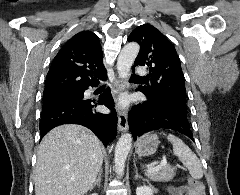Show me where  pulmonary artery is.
<instances>
[{"mask_svg": "<svg viewBox=\"0 0 240 195\" xmlns=\"http://www.w3.org/2000/svg\"><path fill=\"white\" fill-rule=\"evenodd\" d=\"M136 73L138 74V76H145V74H146L143 66H138Z\"/></svg>", "mask_w": 240, "mask_h": 195, "instance_id": "1", "label": "pulmonary artery"}]
</instances>
